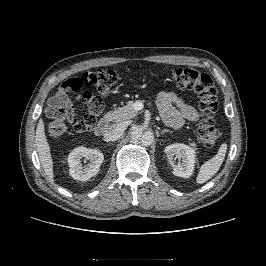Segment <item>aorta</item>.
Returning <instances> with one entry per match:
<instances>
[{"mask_svg": "<svg viewBox=\"0 0 266 266\" xmlns=\"http://www.w3.org/2000/svg\"><path fill=\"white\" fill-rule=\"evenodd\" d=\"M131 140L134 143H141L144 146H149L154 141V134L152 131H144L142 127L136 126L131 131Z\"/></svg>", "mask_w": 266, "mask_h": 266, "instance_id": "aorta-1", "label": "aorta"}]
</instances>
